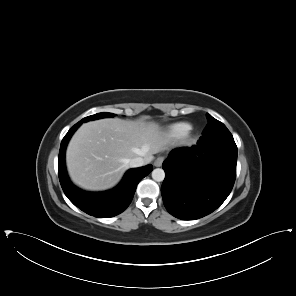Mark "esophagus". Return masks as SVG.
<instances>
[{
	"instance_id": "34e87169",
	"label": "esophagus",
	"mask_w": 296,
	"mask_h": 296,
	"mask_svg": "<svg viewBox=\"0 0 296 296\" xmlns=\"http://www.w3.org/2000/svg\"><path fill=\"white\" fill-rule=\"evenodd\" d=\"M163 161H164V157H163V156H159V157H157V159L155 160L154 165H155L156 167H160V166L162 165Z\"/></svg>"
}]
</instances>
